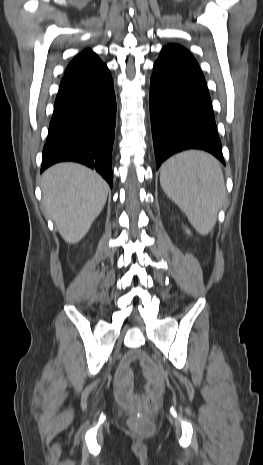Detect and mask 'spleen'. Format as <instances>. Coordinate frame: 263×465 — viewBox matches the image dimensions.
<instances>
[{
    "instance_id": "3e777b00",
    "label": "spleen",
    "mask_w": 263,
    "mask_h": 465,
    "mask_svg": "<svg viewBox=\"0 0 263 465\" xmlns=\"http://www.w3.org/2000/svg\"><path fill=\"white\" fill-rule=\"evenodd\" d=\"M160 183L165 194L185 212L193 227L207 235L216 223L225 195L219 162L200 151L177 154L161 167Z\"/></svg>"
}]
</instances>
